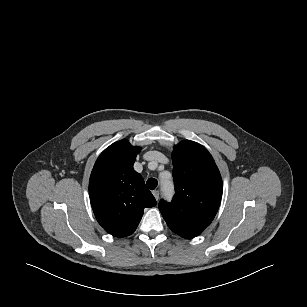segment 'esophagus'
I'll return each mask as SVG.
<instances>
[{
  "label": "esophagus",
  "mask_w": 307,
  "mask_h": 307,
  "mask_svg": "<svg viewBox=\"0 0 307 307\" xmlns=\"http://www.w3.org/2000/svg\"><path fill=\"white\" fill-rule=\"evenodd\" d=\"M152 194L154 195V197H155V199H156V200H158V199H159V195H160V193H159V191H158V190H154V191L152 192Z\"/></svg>",
  "instance_id": "34e87169"
}]
</instances>
